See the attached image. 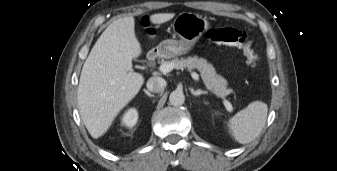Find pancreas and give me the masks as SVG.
Wrapping results in <instances>:
<instances>
[{"mask_svg": "<svg viewBox=\"0 0 337 171\" xmlns=\"http://www.w3.org/2000/svg\"><path fill=\"white\" fill-rule=\"evenodd\" d=\"M168 63H172L176 69H198L207 89L217 97L225 98L231 93V90L227 89V80L218 75L215 68L206 59L194 56L180 60L173 59L172 61H168Z\"/></svg>", "mask_w": 337, "mask_h": 171, "instance_id": "obj_1", "label": "pancreas"}]
</instances>
